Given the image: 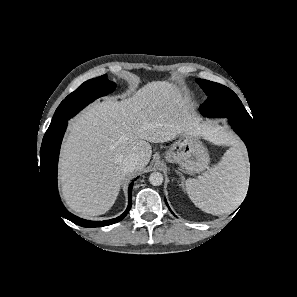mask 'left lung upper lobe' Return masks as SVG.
Segmentation results:
<instances>
[{
	"label": "left lung upper lobe",
	"mask_w": 297,
	"mask_h": 297,
	"mask_svg": "<svg viewBox=\"0 0 297 297\" xmlns=\"http://www.w3.org/2000/svg\"><path fill=\"white\" fill-rule=\"evenodd\" d=\"M196 82L208 96L200 106V112L206 117H227L254 127V121L244 108L238 96L228 87L204 79Z\"/></svg>",
	"instance_id": "obj_1"
}]
</instances>
